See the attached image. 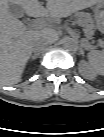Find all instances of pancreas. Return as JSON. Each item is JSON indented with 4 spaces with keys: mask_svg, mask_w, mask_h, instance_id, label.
Returning a JSON list of instances; mask_svg holds the SVG:
<instances>
[{
    "mask_svg": "<svg viewBox=\"0 0 104 137\" xmlns=\"http://www.w3.org/2000/svg\"><path fill=\"white\" fill-rule=\"evenodd\" d=\"M91 20L90 16L86 13H77L75 15V21L78 24L85 26L87 30L91 29V25L88 22Z\"/></svg>",
    "mask_w": 104,
    "mask_h": 137,
    "instance_id": "1",
    "label": "pancreas"
}]
</instances>
